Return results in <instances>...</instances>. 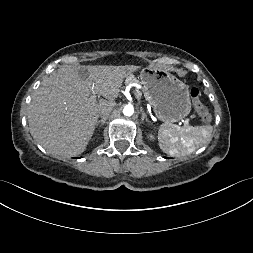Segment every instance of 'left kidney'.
Instances as JSON below:
<instances>
[{
	"label": "left kidney",
	"mask_w": 253,
	"mask_h": 253,
	"mask_svg": "<svg viewBox=\"0 0 253 253\" xmlns=\"http://www.w3.org/2000/svg\"><path fill=\"white\" fill-rule=\"evenodd\" d=\"M150 139H151V140H153V139H154L153 134H150Z\"/></svg>",
	"instance_id": "1"
}]
</instances>
